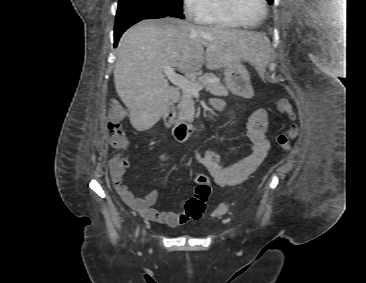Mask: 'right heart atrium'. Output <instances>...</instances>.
<instances>
[{
  "instance_id": "1",
  "label": "right heart atrium",
  "mask_w": 366,
  "mask_h": 283,
  "mask_svg": "<svg viewBox=\"0 0 366 283\" xmlns=\"http://www.w3.org/2000/svg\"><path fill=\"white\" fill-rule=\"evenodd\" d=\"M209 0H182L185 14L194 20H199L207 10Z\"/></svg>"
}]
</instances>
